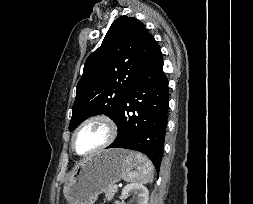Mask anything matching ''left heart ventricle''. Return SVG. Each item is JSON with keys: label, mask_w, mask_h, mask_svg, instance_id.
Instances as JSON below:
<instances>
[{"label": "left heart ventricle", "mask_w": 253, "mask_h": 204, "mask_svg": "<svg viewBox=\"0 0 253 204\" xmlns=\"http://www.w3.org/2000/svg\"><path fill=\"white\" fill-rule=\"evenodd\" d=\"M107 136L108 129L103 123H90L78 132L75 140L76 150L81 154L86 153L103 143Z\"/></svg>", "instance_id": "left-heart-ventricle-1"}]
</instances>
